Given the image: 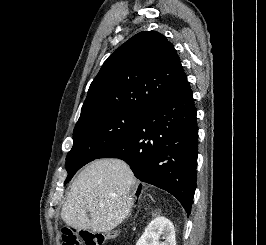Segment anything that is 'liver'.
<instances>
[{"label": "liver", "instance_id": "6515ba94", "mask_svg": "<svg viewBox=\"0 0 266 245\" xmlns=\"http://www.w3.org/2000/svg\"><path fill=\"white\" fill-rule=\"evenodd\" d=\"M137 181L120 159H97L73 181L61 211L67 227L108 233L128 217L131 191ZM90 213L91 217H87Z\"/></svg>", "mask_w": 266, "mask_h": 245}]
</instances>
